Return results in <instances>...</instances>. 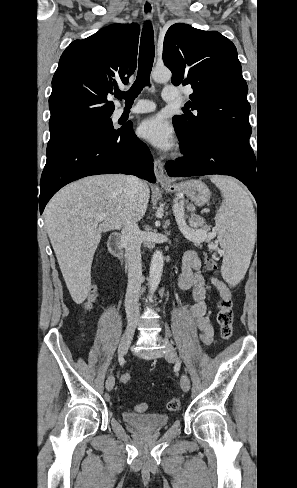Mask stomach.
I'll list each match as a JSON object with an SVG mask.
<instances>
[{
	"mask_svg": "<svg viewBox=\"0 0 297 488\" xmlns=\"http://www.w3.org/2000/svg\"><path fill=\"white\" fill-rule=\"evenodd\" d=\"M164 188L168 192H174L179 198L186 197L197 206L205 205L211 196L210 190L205 183L200 180H186L180 183L165 184Z\"/></svg>",
	"mask_w": 297,
	"mask_h": 488,
	"instance_id": "obj_1",
	"label": "stomach"
}]
</instances>
